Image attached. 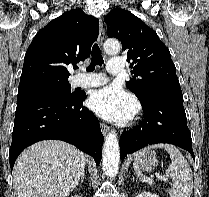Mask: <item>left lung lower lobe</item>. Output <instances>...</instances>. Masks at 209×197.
<instances>
[{
	"instance_id": "left-lung-lower-lobe-1",
	"label": "left lung lower lobe",
	"mask_w": 209,
	"mask_h": 197,
	"mask_svg": "<svg viewBox=\"0 0 209 197\" xmlns=\"http://www.w3.org/2000/svg\"><path fill=\"white\" fill-rule=\"evenodd\" d=\"M141 105L144 120L121 135L120 158L150 144L169 143L187 150L195 159L183 107V95H156L141 102Z\"/></svg>"
}]
</instances>
